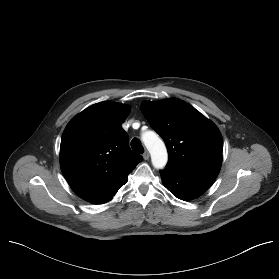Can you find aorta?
Listing matches in <instances>:
<instances>
[{
	"label": "aorta",
	"mask_w": 279,
	"mask_h": 279,
	"mask_svg": "<svg viewBox=\"0 0 279 279\" xmlns=\"http://www.w3.org/2000/svg\"><path fill=\"white\" fill-rule=\"evenodd\" d=\"M142 140L151 155L154 168L163 169L168 161L167 149L164 142L153 131H147L142 135Z\"/></svg>",
	"instance_id": "obj_1"
}]
</instances>
